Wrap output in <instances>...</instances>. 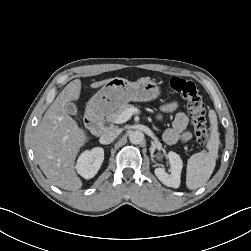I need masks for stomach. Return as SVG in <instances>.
<instances>
[{"label":"stomach","instance_id":"0dacf381","mask_svg":"<svg viewBox=\"0 0 251 251\" xmlns=\"http://www.w3.org/2000/svg\"><path fill=\"white\" fill-rule=\"evenodd\" d=\"M160 94L159 84L149 77H142L135 82L112 78L89 100L86 109L90 114L101 115L130 101L155 100Z\"/></svg>","mask_w":251,"mask_h":251}]
</instances>
